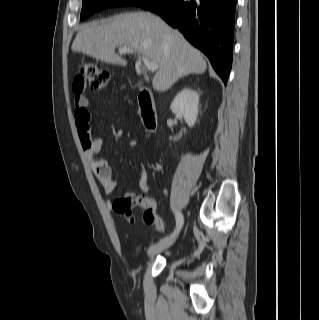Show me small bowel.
Here are the masks:
<instances>
[{"instance_id": "small-bowel-1", "label": "small bowel", "mask_w": 319, "mask_h": 320, "mask_svg": "<svg viewBox=\"0 0 319 320\" xmlns=\"http://www.w3.org/2000/svg\"><path fill=\"white\" fill-rule=\"evenodd\" d=\"M75 90V121L78 128L80 142L83 147L85 157L91 163L96 177L98 178L104 190V193L109 195L115 190L116 182L109 171L107 162L104 159L97 158V154L104 145L105 138L103 136L92 138L91 134L86 135L82 131L81 126L84 119H90L91 117L90 103L87 97L84 95V87L79 89L75 86ZM138 186L142 192H148L153 187V184L147 181L146 174L143 169L140 171ZM140 198L142 199V203L138 208L142 209L144 212L149 210L150 212L156 214L155 201L149 197L143 196Z\"/></svg>"}]
</instances>
